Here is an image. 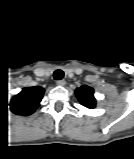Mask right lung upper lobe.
Wrapping results in <instances>:
<instances>
[{
    "label": "right lung upper lobe",
    "mask_w": 134,
    "mask_h": 159,
    "mask_svg": "<svg viewBox=\"0 0 134 159\" xmlns=\"http://www.w3.org/2000/svg\"><path fill=\"white\" fill-rule=\"evenodd\" d=\"M44 90L41 87H29L22 90L15 99L14 105L17 112L21 114H30L38 106L43 96Z\"/></svg>",
    "instance_id": "cb5924a9"
}]
</instances>
